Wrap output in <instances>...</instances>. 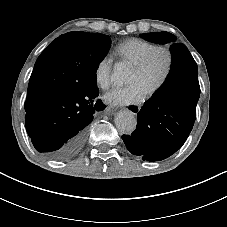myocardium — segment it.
<instances>
[{
	"mask_svg": "<svg viewBox=\"0 0 227 227\" xmlns=\"http://www.w3.org/2000/svg\"><path fill=\"white\" fill-rule=\"evenodd\" d=\"M158 55L164 56L165 68L160 80L147 91V94L149 96H154L159 91H161L167 84L174 66V56L172 50L167 46H155L133 68V71L136 73L145 72L154 60V58Z\"/></svg>",
	"mask_w": 227,
	"mask_h": 227,
	"instance_id": "f54148a6",
	"label": "myocardium"
}]
</instances>
